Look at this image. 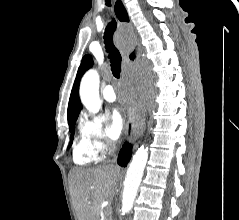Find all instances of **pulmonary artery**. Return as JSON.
I'll return each instance as SVG.
<instances>
[{
    "mask_svg": "<svg viewBox=\"0 0 239 220\" xmlns=\"http://www.w3.org/2000/svg\"><path fill=\"white\" fill-rule=\"evenodd\" d=\"M103 97L108 102L116 101L117 97L112 85H107L103 90Z\"/></svg>",
    "mask_w": 239,
    "mask_h": 220,
    "instance_id": "1",
    "label": "pulmonary artery"
}]
</instances>
